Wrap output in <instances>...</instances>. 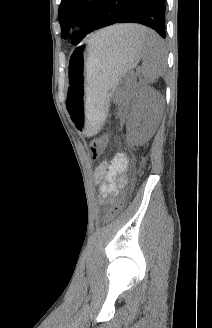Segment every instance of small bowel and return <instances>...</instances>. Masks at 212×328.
<instances>
[{
    "instance_id": "obj_1",
    "label": "small bowel",
    "mask_w": 212,
    "mask_h": 328,
    "mask_svg": "<svg viewBox=\"0 0 212 328\" xmlns=\"http://www.w3.org/2000/svg\"><path fill=\"white\" fill-rule=\"evenodd\" d=\"M128 166V157L124 153H117L96 168L94 178L104 202L111 203L118 190L126 184Z\"/></svg>"
}]
</instances>
